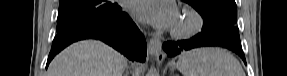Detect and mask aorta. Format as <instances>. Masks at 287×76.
<instances>
[{
	"label": "aorta",
	"instance_id": "1",
	"mask_svg": "<svg viewBox=\"0 0 287 76\" xmlns=\"http://www.w3.org/2000/svg\"><path fill=\"white\" fill-rule=\"evenodd\" d=\"M147 76H159V72L155 68H150L147 73Z\"/></svg>",
	"mask_w": 287,
	"mask_h": 76
}]
</instances>
